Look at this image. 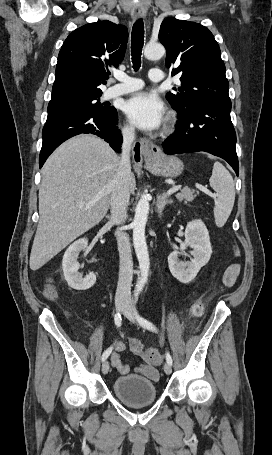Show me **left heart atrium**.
Segmentation results:
<instances>
[{"label": "left heart atrium", "mask_w": 272, "mask_h": 455, "mask_svg": "<svg viewBox=\"0 0 272 455\" xmlns=\"http://www.w3.org/2000/svg\"><path fill=\"white\" fill-rule=\"evenodd\" d=\"M124 112L129 120L142 130H155L164 121V105L156 96L140 92L124 104Z\"/></svg>", "instance_id": "1"}]
</instances>
